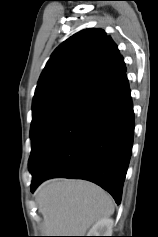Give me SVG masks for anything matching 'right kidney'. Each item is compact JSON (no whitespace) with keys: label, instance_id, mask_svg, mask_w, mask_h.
Returning a JSON list of instances; mask_svg holds the SVG:
<instances>
[{"label":"right kidney","instance_id":"ca27d5eb","mask_svg":"<svg viewBox=\"0 0 158 237\" xmlns=\"http://www.w3.org/2000/svg\"><path fill=\"white\" fill-rule=\"evenodd\" d=\"M113 224V219L103 218L89 230L87 236H111Z\"/></svg>","mask_w":158,"mask_h":237}]
</instances>
